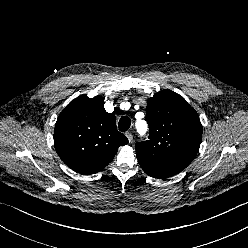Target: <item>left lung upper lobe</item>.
Listing matches in <instances>:
<instances>
[{"instance_id":"obj_1","label":"left lung upper lobe","mask_w":248,"mask_h":248,"mask_svg":"<svg viewBox=\"0 0 248 248\" xmlns=\"http://www.w3.org/2000/svg\"><path fill=\"white\" fill-rule=\"evenodd\" d=\"M149 140L136 144L141 168L163 179L178 174L195 158L202 139L196 111L179 94L165 89L147 101Z\"/></svg>"}]
</instances>
